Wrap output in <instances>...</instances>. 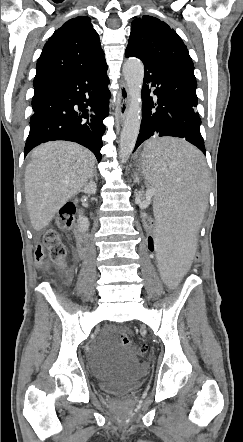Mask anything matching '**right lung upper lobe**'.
I'll list each match as a JSON object with an SVG mask.
<instances>
[{"label":"right lung upper lobe","mask_w":243,"mask_h":442,"mask_svg":"<svg viewBox=\"0 0 243 442\" xmlns=\"http://www.w3.org/2000/svg\"><path fill=\"white\" fill-rule=\"evenodd\" d=\"M98 33L89 17L65 22L46 42L37 61L34 81L68 72L89 71L105 65Z\"/></svg>","instance_id":"right-lung-upper-lobe-1"}]
</instances>
